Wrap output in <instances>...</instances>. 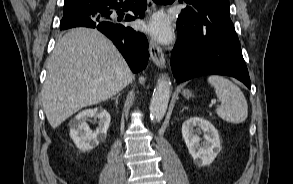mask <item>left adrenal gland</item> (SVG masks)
<instances>
[{
	"instance_id": "1",
	"label": "left adrenal gland",
	"mask_w": 293,
	"mask_h": 184,
	"mask_svg": "<svg viewBox=\"0 0 293 184\" xmlns=\"http://www.w3.org/2000/svg\"><path fill=\"white\" fill-rule=\"evenodd\" d=\"M185 109H188L187 107H183L182 111H184Z\"/></svg>"
}]
</instances>
